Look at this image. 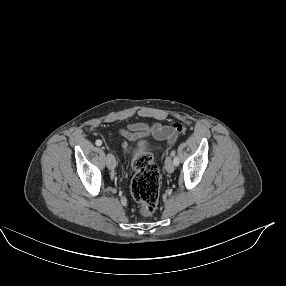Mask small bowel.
I'll list each match as a JSON object with an SVG mask.
<instances>
[{"instance_id":"obj_1","label":"small bowel","mask_w":286,"mask_h":286,"mask_svg":"<svg viewBox=\"0 0 286 286\" xmlns=\"http://www.w3.org/2000/svg\"><path fill=\"white\" fill-rule=\"evenodd\" d=\"M133 130L138 134L151 132L157 139L165 140L169 144H173L182 132V125L178 122L168 126H163L159 123H153L151 125L140 123L136 124Z\"/></svg>"}]
</instances>
